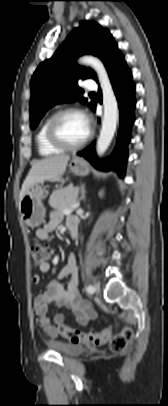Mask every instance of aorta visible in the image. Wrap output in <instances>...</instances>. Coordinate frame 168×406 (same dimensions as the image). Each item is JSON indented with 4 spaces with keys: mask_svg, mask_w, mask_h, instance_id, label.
Instances as JSON below:
<instances>
[{
    "mask_svg": "<svg viewBox=\"0 0 168 406\" xmlns=\"http://www.w3.org/2000/svg\"><path fill=\"white\" fill-rule=\"evenodd\" d=\"M79 63L90 65L95 70L102 89L104 115L96 147L98 156H101L109 147L116 131L119 117L118 104L103 63L93 56H83L79 59Z\"/></svg>",
    "mask_w": 168,
    "mask_h": 406,
    "instance_id": "1",
    "label": "aorta"
}]
</instances>
